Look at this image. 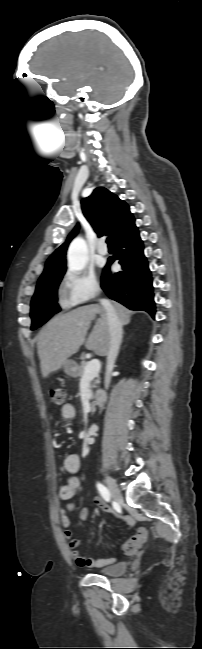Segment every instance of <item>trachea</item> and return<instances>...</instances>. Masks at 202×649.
Wrapping results in <instances>:
<instances>
[{
    "label": "trachea",
    "instance_id": "obj_1",
    "mask_svg": "<svg viewBox=\"0 0 202 649\" xmlns=\"http://www.w3.org/2000/svg\"><path fill=\"white\" fill-rule=\"evenodd\" d=\"M106 242H107L108 245H113V238L111 236H109L107 238Z\"/></svg>",
    "mask_w": 202,
    "mask_h": 649
}]
</instances>
